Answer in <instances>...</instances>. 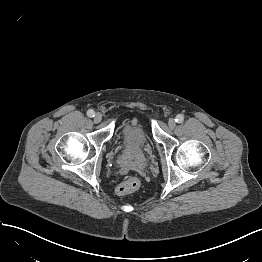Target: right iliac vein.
<instances>
[{"label":"right iliac vein","mask_w":262,"mask_h":262,"mask_svg":"<svg viewBox=\"0 0 262 262\" xmlns=\"http://www.w3.org/2000/svg\"><path fill=\"white\" fill-rule=\"evenodd\" d=\"M102 120V115L100 113H96L94 115V122L99 123Z\"/></svg>","instance_id":"right-iliac-vein-1"}]
</instances>
